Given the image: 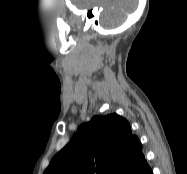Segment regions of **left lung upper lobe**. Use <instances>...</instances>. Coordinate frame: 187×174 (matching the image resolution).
Masks as SVG:
<instances>
[{
    "instance_id": "obj_1",
    "label": "left lung upper lobe",
    "mask_w": 187,
    "mask_h": 174,
    "mask_svg": "<svg viewBox=\"0 0 187 174\" xmlns=\"http://www.w3.org/2000/svg\"><path fill=\"white\" fill-rule=\"evenodd\" d=\"M138 164H147L142 145L128 122L114 113L81 125L44 174H131Z\"/></svg>"
}]
</instances>
